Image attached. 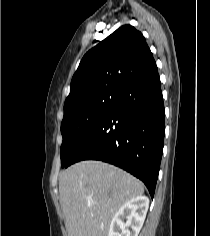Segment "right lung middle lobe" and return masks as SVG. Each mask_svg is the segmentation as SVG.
Returning <instances> with one entry per match:
<instances>
[{"label":"right lung middle lobe","mask_w":210,"mask_h":236,"mask_svg":"<svg viewBox=\"0 0 210 236\" xmlns=\"http://www.w3.org/2000/svg\"><path fill=\"white\" fill-rule=\"evenodd\" d=\"M120 92H106L83 100L67 111L61 123L63 142L61 145V165L71 160L73 154L89 132L113 108Z\"/></svg>","instance_id":"1"}]
</instances>
